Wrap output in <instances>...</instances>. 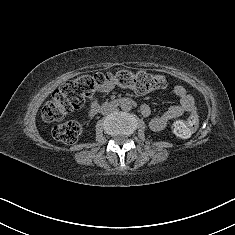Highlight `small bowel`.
<instances>
[{
	"label": "small bowel",
	"instance_id": "small-bowel-1",
	"mask_svg": "<svg viewBox=\"0 0 235 235\" xmlns=\"http://www.w3.org/2000/svg\"><path fill=\"white\" fill-rule=\"evenodd\" d=\"M113 88V85H109L103 91L108 92ZM173 92L177 96L178 102L171 105L163 114L156 116L151 120L150 127L154 131L164 129L172 119L181 116L185 111H189L193 106V97L183 86H174ZM141 112L144 116H149L151 113L150 107L148 105H142Z\"/></svg>",
	"mask_w": 235,
	"mask_h": 235
}]
</instances>
